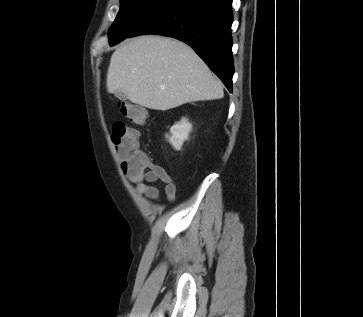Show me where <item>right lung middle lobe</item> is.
Listing matches in <instances>:
<instances>
[{
    "mask_svg": "<svg viewBox=\"0 0 363 317\" xmlns=\"http://www.w3.org/2000/svg\"><path fill=\"white\" fill-rule=\"evenodd\" d=\"M121 8L110 28V45L127 38L135 29L178 0H120Z\"/></svg>",
    "mask_w": 363,
    "mask_h": 317,
    "instance_id": "dd1d6c3e",
    "label": "right lung middle lobe"
}]
</instances>
